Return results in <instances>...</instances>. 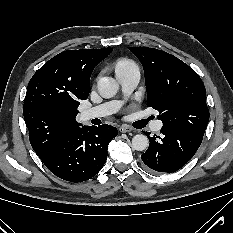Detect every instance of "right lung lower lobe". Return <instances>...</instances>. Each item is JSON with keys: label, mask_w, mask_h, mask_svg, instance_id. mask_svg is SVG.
Wrapping results in <instances>:
<instances>
[{"label": "right lung lower lobe", "mask_w": 233, "mask_h": 233, "mask_svg": "<svg viewBox=\"0 0 233 233\" xmlns=\"http://www.w3.org/2000/svg\"><path fill=\"white\" fill-rule=\"evenodd\" d=\"M117 133L115 127L107 124L76 128L61 137L40 159L61 179L70 182L88 180L104 166L108 144Z\"/></svg>", "instance_id": "98d812e1"}]
</instances>
